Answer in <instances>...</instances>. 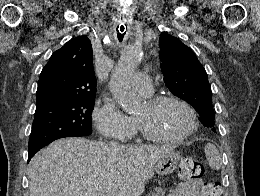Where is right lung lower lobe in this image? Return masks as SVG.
<instances>
[{"instance_id": "1", "label": "right lung lower lobe", "mask_w": 260, "mask_h": 196, "mask_svg": "<svg viewBox=\"0 0 260 196\" xmlns=\"http://www.w3.org/2000/svg\"><path fill=\"white\" fill-rule=\"evenodd\" d=\"M37 152V150L29 151L28 152V161L32 158V156Z\"/></svg>"}]
</instances>
